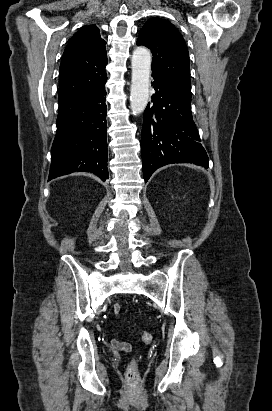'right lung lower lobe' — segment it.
Returning <instances> with one entry per match:
<instances>
[{
	"label": "right lung lower lobe",
	"instance_id": "right-lung-lower-lobe-1",
	"mask_svg": "<svg viewBox=\"0 0 272 411\" xmlns=\"http://www.w3.org/2000/svg\"><path fill=\"white\" fill-rule=\"evenodd\" d=\"M105 83L59 102L48 181L75 171L92 172L103 181L109 177Z\"/></svg>",
	"mask_w": 272,
	"mask_h": 411
}]
</instances>
